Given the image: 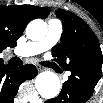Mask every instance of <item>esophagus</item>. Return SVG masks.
Segmentation results:
<instances>
[{"label":"esophagus","instance_id":"obj_1","mask_svg":"<svg viewBox=\"0 0 103 103\" xmlns=\"http://www.w3.org/2000/svg\"><path fill=\"white\" fill-rule=\"evenodd\" d=\"M36 68L39 72L43 71V67H41L40 65H36Z\"/></svg>","mask_w":103,"mask_h":103}]
</instances>
